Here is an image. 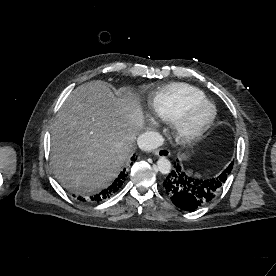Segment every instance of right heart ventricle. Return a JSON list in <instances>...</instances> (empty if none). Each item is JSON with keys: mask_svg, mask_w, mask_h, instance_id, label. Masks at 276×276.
<instances>
[{"mask_svg": "<svg viewBox=\"0 0 276 276\" xmlns=\"http://www.w3.org/2000/svg\"><path fill=\"white\" fill-rule=\"evenodd\" d=\"M199 100H206L202 91L185 83H174L155 92L151 107L156 117L165 122L173 123L189 104Z\"/></svg>", "mask_w": 276, "mask_h": 276, "instance_id": "obj_1", "label": "right heart ventricle"}]
</instances>
